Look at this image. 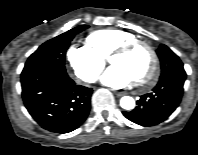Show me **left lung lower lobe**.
<instances>
[{
  "mask_svg": "<svg viewBox=\"0 0 198 155\" xmlns=\"http://www.w3.org/2000/svg\"><path fill=\"white\" fill-rule=\"evenodd\" d=\"M185 79V72L160 78L153 92L141 96L137 107L132 111L123 112V115L142 126H153L165 121L181 102ZM142 112H148L150 117L143 118Z\"/></svg>",
  "mask_w": 198,
  "mask_h": 155,
  "instance_id": "0a47b994",
  "label": "left lung lower lobe"
}]
</instances>
